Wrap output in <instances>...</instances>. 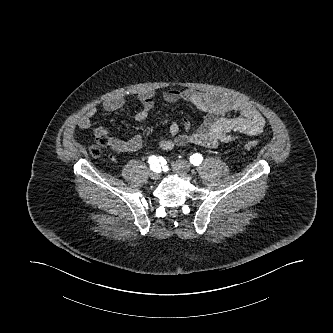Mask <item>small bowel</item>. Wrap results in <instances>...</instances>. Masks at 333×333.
<instances>
[{"label": "small bowel", "mask_w": 333, "mask_h": 333, "mask_svg": "<svg viewBox=\"0 0 333 333\" xmlns=\"http://www.w3.org/2000/svg\"><path fill=\"white\" fill-rule=\"evenodd\" d=\"M163 98L168 103L186 101L205 113L203 123L192 130L191 122L183 119L181 123H173L169 129V137L161 138L157 145L162 150H169L175 146L189 144L205 148L217 147L220 143L231 142L241 135L259 136L263 133L265 119L263 115L248 101L235 96L202 93L193 89L170 88L163 92ZM141 109L134 116L136 122H143L150 114L155 104V92L145 91L137 95ZM125 104L122 97L107 98L102 102L105 111L112 112ZM234 112L236 115L231 116ZM97 114L96 108H91L83 116L78 125L82 129L91 126ZM181 130L183 132H181ZM106 136V131L98 127L94 131L96 138ZM116 152H134L143 145V137L137 134L130 139L108 137V144Z\"/></svg>", "instance_id": "c3829d8e"}]
</instances>
